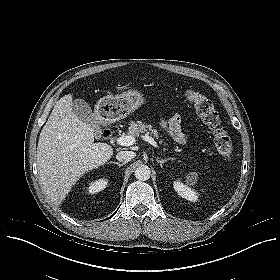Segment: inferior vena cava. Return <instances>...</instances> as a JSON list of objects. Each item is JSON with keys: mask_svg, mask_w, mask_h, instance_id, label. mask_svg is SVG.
<instances>
[{"mask_svg": "<svg viewBox=\"0 0 280 280\" xmlns=\"http://www.w3.org/2000/svg\"><path fill=\"white\" fill-rule=\"evenodd\" d=\"M134 157L135 153L133 151H120L116 155V159L122 163H127Z\"/></svg>", "mask_w": 280, "mask_h": 280, "instance_id": "inferior-vena-cava-1", "label": "inferior vena cava"}]
</instances>
